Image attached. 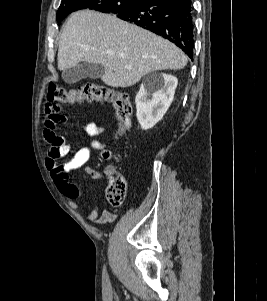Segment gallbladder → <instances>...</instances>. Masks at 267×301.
Returning <instances> with one entry per match:
<instances>
[{"label": "gallbladder", "instance_id": "gallbladder-1", "mask_svg": "<svg viewBox=\"0 0 267 301\" xmlns=\"http://www.w3.org/2000/svg\"><path fill=\"white\" fill-rule=\"evenodd\" d=\"M105 72L101 64L82 62L63 71L62 78L68 84H74L86 78L98 79Z\"/></svg>", "mask_w": 267, "mask_h": 301}]
</instances>
